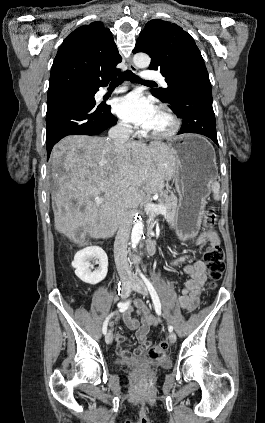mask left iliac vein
Segmentation results:
<instances>
[{"mask_svg":"<svg viewBox=\"0 0 265 423\" xmlns=\"http://www.w3.org/2000/svg\"><path fill=\"white\" fill-rule=\"evenodd\" d=\"M132 289L134 291L144 295V296L148 295V290H147L145 284L138 278H136V280L132 283ZM168 338H169L171 343H175L176 334L173 333V332H170Z\"/></svg>","mask_w":265,"mask_h":423,"instance_id":"4c4485c4","label":"left iliac vein"}]
</instances>
